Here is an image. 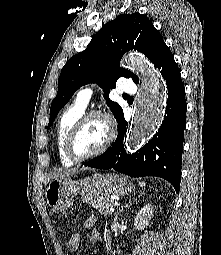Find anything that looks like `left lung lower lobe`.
Masks as SVG:
<instances>
[{"mask_svg":"<svg viewBox=\"0 0 221 255\" xmlns=\"http://www.w3.org/2000/svg\"><path fill=\"white\" fill-rule=\"evenodd\" d=\"M154 66L160 69L168 87L164 120L154 137L136 153L126 154L123 140L128 123L123 115L117 120L118 136L101 156L85 163L98 169H111L131 177L157 176L168 180L179 192L183 136L186 126L185 88L180 70L170 49L165 46Z\"/></svg>","mask_w":221,"mask_h":255,"instance_id":"1","label":"left lung lower lobe"}]
</instances>
